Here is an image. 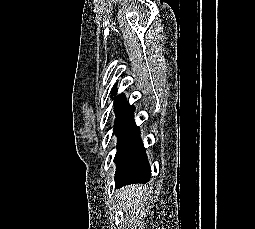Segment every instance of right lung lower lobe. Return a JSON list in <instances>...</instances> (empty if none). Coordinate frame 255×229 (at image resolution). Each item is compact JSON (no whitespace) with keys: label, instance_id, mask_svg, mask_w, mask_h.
<instances>
[{"label":"right lung lower lobe","instance_id":"right-lung-lower-lobe-1","mask_svg":"<svg viewBox=\"0 0 255 229\" xmlns=\"http://www.w3.org/2000/svg\"><path fill=\"white\" fill-rule=\"evenodd\" d=\"M133 112L134 111H131L126 115L132 122L134 117ZM150 177L151 171L149 165L147 167H143L140 164H133L127 173L116 174L115 184L118 188L128 184L146 183L149 181Z\"/></svg>","mask_w":255,"mask_h":229}]
</instances>
